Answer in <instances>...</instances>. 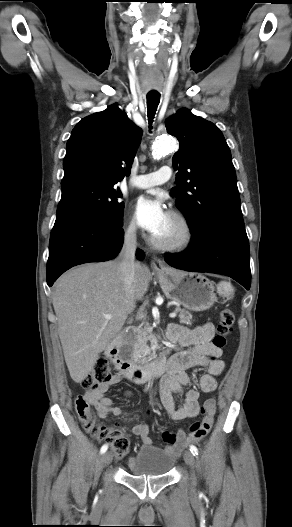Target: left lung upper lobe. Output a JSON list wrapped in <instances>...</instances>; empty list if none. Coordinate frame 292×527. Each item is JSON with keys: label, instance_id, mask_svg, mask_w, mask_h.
Returning <instances> with one entry per match:
<instances>
[{"label": "left lung upper lobe", "instance_id": "obj_1", "mask_svg": "<svg viewBox=\"0 0 292 527\" xmlns=\"http://www.w3.org/2000/svg\"><path fill=\"white\" fill-rule=\"evenodd\" d=\"M166 128L180 143L172 158L178 170L172 190L191 233L244 225L231 152L218 127L183 108L166 120Z\"/></svg>", "mask_w": 292, "mask_h": 527}]
</instances>
